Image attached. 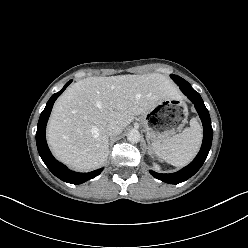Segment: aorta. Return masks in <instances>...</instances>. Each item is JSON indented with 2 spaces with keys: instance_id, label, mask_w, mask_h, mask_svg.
Listing matches in <instances>:
<instances>
[{
  "instance_id": "762f6f07",
  "label": "aorta",
  "mask_w": 248,
  "mask_h": 248,
  "mask_svg": "<svg viewBox=\"0 0 248 248\" xmlns=\"http://www.w3.org/2000/svg\"><path fill=\"white\" fill-rule=\"evenodd\" d=\"M127 139L131 143H138L141 139V135H140L139 131L131 130L127 135Z\"/></svg>"
}]
</instances>
